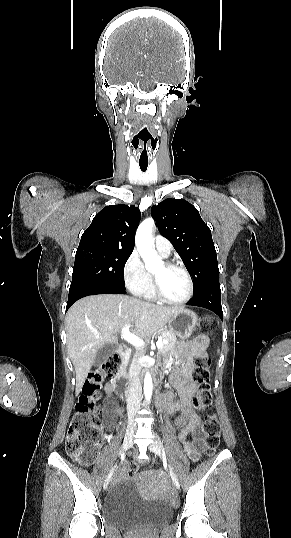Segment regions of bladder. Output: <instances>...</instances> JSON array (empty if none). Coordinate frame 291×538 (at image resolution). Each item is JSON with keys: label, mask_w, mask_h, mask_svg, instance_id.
<instances>
[{"label": "bladder", "mask_w": 291, "mask_h": 538, "mask_svg": "<svg viewBox=\"0 0 291 538\" xmlns=\"http://www.w3.org/2000/svg\"><path fill=\"white\" fill-rule=\"evenodd\" d=\"M103 514L108 524L127 528L137 523L164 522L171 517L172 510L162 502L141 498L134 482L123 479L108 491Z\"/></svg>", "instance_id": "1"}]
</instances>
